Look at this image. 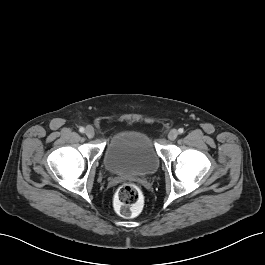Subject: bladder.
<instances>
[{"label":"bladder","mask_w":265,"mask_h":265,"mask_svg":"<svg viewBox=\"0 0 265 265\" xmlns=\"http://www.w3.org/2000/svg\"><path fill=\"white\" fill-rule=\"evenodd\" d=\"M103 162L110 173L142 176L158 169L160 157L145 131L126 128L110 139Z\"/></svg>","instance_id":"1"}]
</instances>
